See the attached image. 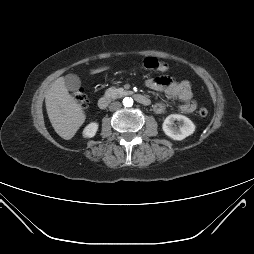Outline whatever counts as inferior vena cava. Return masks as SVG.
Instances as JSON below:
<instances>
[{
	"label": "inferior vena cava",
	"instance_id": "1",
	"mask_svg": "<svg viewBox=\"0 0 254 254\" xmlns=\"http://www.w3.org/2000/svg\"><path fill=\"white\" fill-rule=\"evenodd\" d=\"M120 107H121V103L115 101V102H112V103L109 105V110H110V111H116V110L120 109Z\"/></svg>",
	"mask_w": 254,
	"mask_h": 254
}]
</instances>
